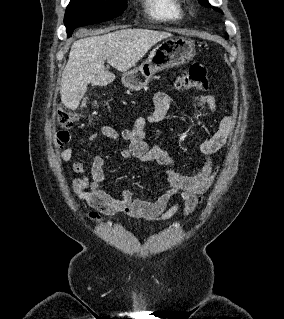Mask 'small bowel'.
Instances as JSON below:
<instances>
[{
  "label": "small bowel",
  "mask_w": 284,
  "mask_h": 319,
  "mask_svg": "<svg viewBox=\"0 0 284 319\" xmlns=\"http://www.w3.org/2000/svg\"><path fill=\"white\" fill-rule=\"evenodd\" d=\"M171 105V97L166 92H158L154 96V106L149 115L135 120L132 129H125L121 133L110 126H102L99 133L92 137V141L99 136L111 140L121 138L128 143V147L121 152L124 158H133L138 161H154L164 167L168 182V189L155 200L134 198L128 189L121 190L120 198L109 194L104 187L103 166L106 158L95 156L91 160L89 173L85 171V161L79 159L73 163V170L80 176L72 184V191L79 200L88 204L94 211L87 214L89 221L95 224L103 222L101 214L114 216L124 213L135 219H144L150 222L169 220L180 208L183 216L190 215L202 202L203 195L215 179L217 170L212 165V155L220 151L232 135L234 120L225 116L219 120L217 129L209 137L199 143L203 154V162L196 174H185L176 168L175 160L158 148H151L145 142V128L147 122L157 123L165 119ZM193 105L200 111H216L217 103L213 97L199 96L194 99ZM71 140L68 131H60L55 138V146L59 150V159L68 162L73 154V147H65ZM177 196L174 203L172 198Z\"/></svg>",
  "instance_id": "1"
}]
</instances>
